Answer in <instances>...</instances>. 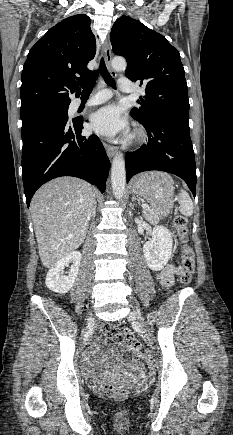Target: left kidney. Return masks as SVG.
Returning a JSON list of instances; mask_svg holds the SVG:
<instances>
[{"label": "left kidney", "instance_id": "5707ae66", "mask_svg": "<svg viewBox=\"0 0 233 435\" xmlns=\"http://www.w3.org/2000/svg\"><path fill=\"white\" fill-rule=\"evenodd\" d=\"M173 239L170 231L163 226L153 228L152 239L143 246V253L149 268L162 270L172 255Z\"/></svg>", "mask_w": 233, "mask_h": 435}]
</instances>
